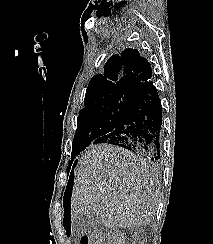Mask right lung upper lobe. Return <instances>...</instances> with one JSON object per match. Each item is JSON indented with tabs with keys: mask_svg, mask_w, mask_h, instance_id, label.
<instances>
[{
	"mask_svg": "<svg viewBox=\"0 0 213 244\" xmlns=\"http://www.w3.org/2000/svg\"><path fill=\"white\" fill-rule=\"evenodd\" d=\"M152 69L138 50L128 48L113 55L104 65V74L92 77L87 87L85 104L115 94L136 96L151 82Z\"/></svg>",
	"mask_w": 213,
	"mask_h": 244,
	"instance_id": "right-lung-upper-lobe-1",
	"label": "right lung upper lobe"
}]
</instances>
